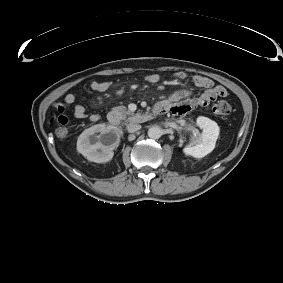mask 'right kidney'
<instances>
[{
  "label": "right kidney",
  "instance_id": "obj_1",
  "mask_svg": "<svg viewBox=\"0 0 283 283\" xmlns=\"http://www.w3.org/2000/svg\"><path fill=\"white\" fill-rule=\"evenodd\" d=\"M121 133L113 126L97 124L85 129L77 140V151L96 163L110 161L119 146Z\"/></svg>",
  "mask_w": 283,
  "mask_h": 283
}]
</instances>
